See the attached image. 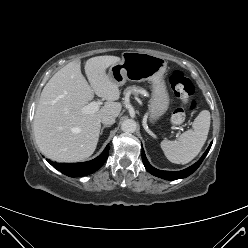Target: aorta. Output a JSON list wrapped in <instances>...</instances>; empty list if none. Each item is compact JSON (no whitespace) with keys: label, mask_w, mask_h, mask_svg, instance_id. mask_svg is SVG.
Returning <instances> with one entry per match:
<instances>
[{"label":"aorta","mask_w":248,"mask_h":248,"mask_svg":"<svg viewBox=\"0 0 248 248\" xmlns=\"http://www.w3.org/2000/svg\"><path fill=\"white\" fill-rule=\"evenodd\" d=\"M137 124L133 119H127L121 124L122 131L126 133H133L136 131Z\"/></svg>","instance_id":"762f6f07"}]
</instances>
